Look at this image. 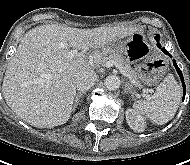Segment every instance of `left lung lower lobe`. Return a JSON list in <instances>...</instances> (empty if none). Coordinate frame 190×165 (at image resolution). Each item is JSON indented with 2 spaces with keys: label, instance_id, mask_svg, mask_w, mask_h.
<instances>
[{
  "label": "left lung lower lobe",
  "instance_id": "1",
  "mask_svg": "<svg viewBox=\"0 0 190 165\" xmlns=\"http://www.w3.org/2000/svg\"><path fill=\"white\" fill-rule=\"evenodd\" d=\"M158 39H159V37H158V35H157V36H156V40H158ZM158 47L161 48V45L158 44ZM161 50H162L165 54H167V55H169L170 57H172V56L165 50V48H161ZM173 64H174V66H175V68H176V70H177V73L179 74V76H180V78H181V81H182V83H183V93H184L183 97H185L186 86H185V83H184V78H183V76H182V72H181V70L179 69V67L177 66V64L175 63L174 60H173Z\"/></svg>",
  "mask_w": 190,
  "mask_h": 165
}]
</instances>
